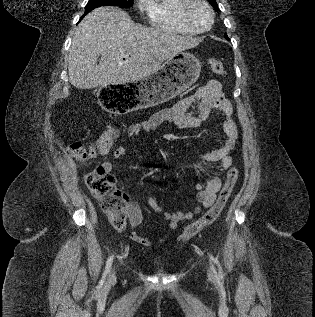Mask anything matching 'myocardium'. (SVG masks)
Listing matches in <instances>:
<instances>
[{"label":"myocardium","mask_w":315,"mask_h":317,"mask_svg":"<svg viewBox=\"0 0 315 317\" xmlns=\"http://www.w3.org/2000/svg\"><path fill=\"white\" fill-rule=\"evenodd\" d=\"M195 4L204 5L209 12L210 22L206 28L196 27L191 20V16H190L191 9L193 8V6ZM180 15H181V19L184 22V24L196 33H205L207 31H209L212 28L213 23H214V19H215L214 10L211 7V5L208 3L207 0H185L184 4L181 7Z\"/></svg>","instance_id":"f54148a6"}]
</instances>
